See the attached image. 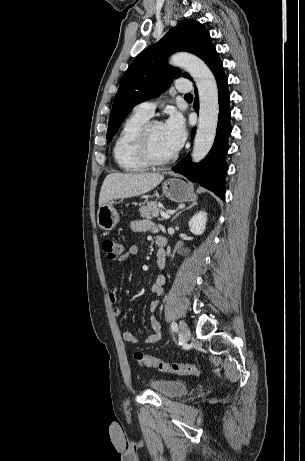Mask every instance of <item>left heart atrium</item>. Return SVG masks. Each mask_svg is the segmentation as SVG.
Returning <instances> with one entry per match:
<instances>
[{"label":"left heart atrium","instance_id":"left-heart-atrium-1","mask_svg":"<svg viewBox=\"0 0 305 461\" xmlns=\"http://www.w3.org/2000/svg\"><path fill=\"white\" fill-rule=\"evenodd\" d=\"M167 142L174 151H178L184 144L187 136L185 122L179 113H172L163 124Z\"/></svg>","mask_w":305,"mask_h":461}]
</instances>
